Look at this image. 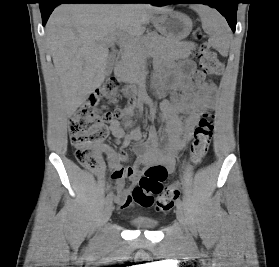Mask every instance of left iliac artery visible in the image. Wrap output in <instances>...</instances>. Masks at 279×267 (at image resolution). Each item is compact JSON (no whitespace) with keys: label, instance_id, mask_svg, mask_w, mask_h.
<instances>
[{"label":"left iliac artery","instance_id":"1","mask_svg":"<svg viewBox=\"0 0 279 267\" xmlns=\"http://www.w3.org/2000/svg\"><path fill=\"white\" fill-rule=\"evenodd\" d=\"M176 206H177V208H182V207H183V202L179 199V200L176 202Z\"/></svg>","mask_w":279,"mask_h":267}]
</instances>
